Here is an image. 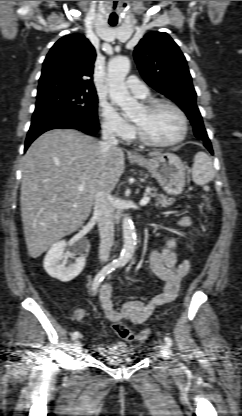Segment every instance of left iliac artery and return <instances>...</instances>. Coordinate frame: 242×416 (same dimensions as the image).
<instances>
[{
  "instance_id": "obj_1",
  "label": "left iliac artery",
  "mask_w": 242,
  "mask_h": 416,
  "mask_svg": "<svg viewBox=\"0 0 242 416\" xmlns=\"http://www.w3.org/2000/svg\"><path fill=\"white\" fill-rule=\"evenodd\" d=\"M164 340H165V342H166V344L168 345V346H172L173 345V341H172V339L169 337V336H165L164 337Z\"/></svg>"
}]
</instances>
